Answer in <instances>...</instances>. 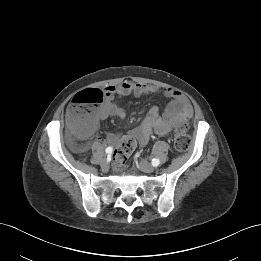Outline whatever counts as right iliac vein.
Segmentation results:
<instances>
[{"mask_svg": "<svg viewBox=\"0 0 261 261\" xmlns=\"http://www.w3.org/2000/svg\"><path fill=\"white\" fill-rule=\"evenodd\" d=\"M100 165L103 169H107L109 167V164L106 159H102Z\"/></svg>", "mask_w": 261, "mask_h": 261, "instance_id": "right-iliac-vein-1", "label": "right iliac vein"}]
</instances>
